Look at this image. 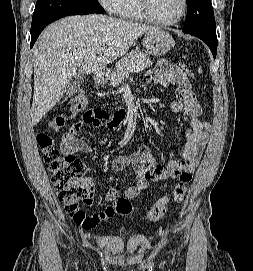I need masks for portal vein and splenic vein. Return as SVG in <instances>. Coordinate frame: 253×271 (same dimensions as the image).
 I'll list each match as a JSON object with an SVG mask.
<instances>
[{
    "mask_svg": "<svg viewBox=\"0 0 253 271\" xmlns=\"http://www.w3.org/2000/svg\"><path fill=\"white\" fill-rule=\"evenodd\" d=\"M104 51H105V49H104V48H101V49H99V50L97 51V53H98V54H102ZM130 71H131V72H138V71H140V67H138V66H133L132 68H130Z\"/></svg>",
    "mask_w": 253,
    "mask_h": 271,
    "instance_id": "1",
    "label": "portal vein and splenic vein"
}]
</instances>
